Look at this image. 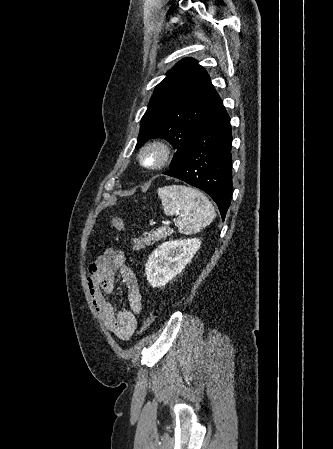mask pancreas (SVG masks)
<instances>
[{
    "mask_svg": "<svg viewBox=\"0 0 333 449\" xmlns=\"http://www.w3.org/2000/svg\"><path fill=\"white\" fill-rule=\"evenodd\" d=\"M172 229L168 227H162L158 230H152L144 237L136 238L133 240L134 249L139 250L147 246L152 245L154 242L159 241L162 238H166L172 234Z\"/></svg>",
    "mask_w": 333,
    "mask_h": 449,
    "instance_id": "obj_1",
    "label": "pancreas"
}]
</instances>
